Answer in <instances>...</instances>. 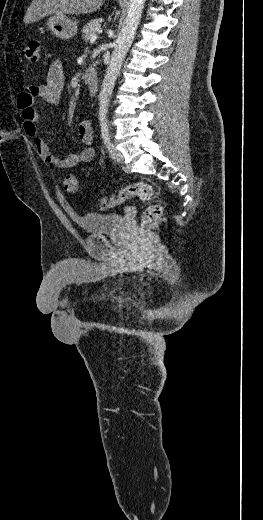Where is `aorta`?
<instances>
[{
    "label": "aorta",
    "mask_w": 263,
    "mask_h": 520,
    "mask_svg": "<svg viewBox=\"0 0 263 520\" xmlns=\"http://www.w3.org/2000/svg\"><path fill=\"white\" fill-rule=\"evenodd\" d=\"M145 0H129L128 12L116 41L110 63L107 67L99 94V119L104 121L108 112L110 98L123 60L134 39L139 25Z\"/></svg>",
    "instance_id": "obj_1"
}]
</instances>
